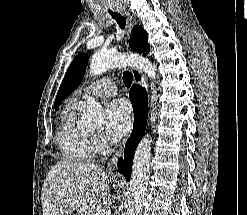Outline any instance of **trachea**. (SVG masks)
I'll return each mask as SVG.
<instances>
[{
  "label": "trachea",
  "instance_id": "trachea-1",
  "mask_svg": "<svg viewBox=\"0 0 247 215\" xmlns=\"http://www.w3.org/2000/svg\"><path fill=\"white\" fill-rule=\"evenodd\" d=\"M111 16L116 20L121 29L125 28L126 20L118 13H111ZM133 76L129 71L123 72V82L127 88H129L132 84Z\"/></svg>",
  "mask_w": 247,
  "mask_h": 215
}]
</instances>
